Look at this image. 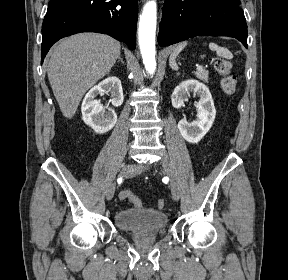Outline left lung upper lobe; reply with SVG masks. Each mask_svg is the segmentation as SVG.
I'll return each mask as SVG.
<instances>
[{
	"label": "left lung upper lobe",
	"instance_id": "1",
	"mask_svg": "<svg viewBox=\"0 0 288 280\" xmlns=\"http://www.w3.org/2000/svg\"><path fill=\"white\" fill-rule=\"evenodd\" d=\"M235 1H237L238 3H240V1H239V0H235Z\"/></svg>",
	"mask_w": 288,
	"mask_h": 280
}]
</instances>
